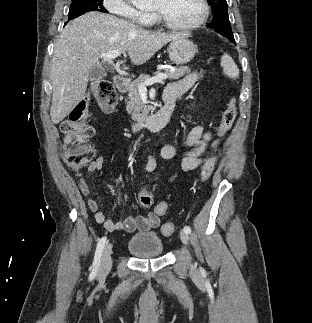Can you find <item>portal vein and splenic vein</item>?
<instances>
[{
	"mask_svg": "<svg viewBox=\"0 0 312 323\" xmlns=\"http://www.w3.org/2000/svg\"><path fill=\"white\" fill-rule=\"evenodd\" d=\"M117 56H120V52H118V50H114V52H107V54H100V58H103V60H115ZM166 78V74H158V76H155V78H150V80H146L144 84H140L139 94H142V96H146V86H152V84H157V82H163V80H166Z\"/></svg>",
	"mask_w": 312,
	"mask_h": 323,
	"instance_id": "portal-vein-and-splenic-vein-1",
	"label": "portal vein and splenic vein"
}]
</instances>
